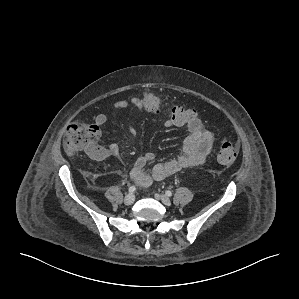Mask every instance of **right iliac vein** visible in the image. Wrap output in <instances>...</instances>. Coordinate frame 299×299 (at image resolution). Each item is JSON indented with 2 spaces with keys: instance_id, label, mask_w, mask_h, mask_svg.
I'll return each mask as SVG.
<instances>
[{
  "instance_id": "1",
  "label": "right iliac vein",
  "mask_w": 299,
  "mask_h": 299,
  "mask_svg": "<svg viewBox=\"0 0 299 299\" xmlns=\"http://www.w3.org/2000/svg\"><path fill=\"white\" fill-rule=\"evenodd\" d=\"M134 201H135V196L132 193L127 194L124 198L125 205H131L134 203Z\"/></svg>"
}]
</instances>
